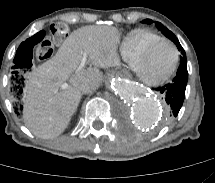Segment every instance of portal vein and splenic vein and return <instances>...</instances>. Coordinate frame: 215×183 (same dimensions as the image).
<instances>
[{
  "label": "portal vein and splenic vein",
  "mask_w": 215,
  "mask_h": 183,
  "mask_svg": "<svg viewBox=\"0 0 215 183\" xmlns=\"http://www.w3.org/2000/svg\"><path fill=\"white\" fill-rule=\"evenodd\" d=\"M82 60H81V63H80V65H79V67L77 68V72L78 71H80L81 69H83L84 67H85V64H86V62H87V54L86 53H82ZM67 83H64L63 85H62V89H65V88H67Z\"/></svg>",
  "instance_id": "portal-vein-and-splenic-vein-1"
}]
</instances>
